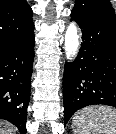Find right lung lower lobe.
I'll return each instance as SVG.
<instances>
[{
	"label": "right lung lower lobe",
	"instance_id": "98d812e1",
	"mask_svg": "<svg viewBox=\"0 0 116 134\" xmlns=\"http://www.w3.org/2000/svg\"><path fill=\"white\" fill-rule=\"evenodd\" d=\"M33 31L0 53V119L17 126L20 134H26L34 60Z\"/></svg>",
	"mask_w": 116,
	"mask_h": 134
}]
</instances>
